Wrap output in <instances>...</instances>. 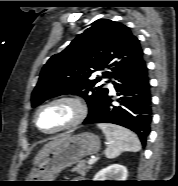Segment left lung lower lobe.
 I'll use <instances>...</instances> for the list:
<instances>
[{
    "label": "left lung lower lobe",
    "instance_id": "left-lung-lower-lobe-1",
    "mask_svg": "<svg viewBox=\"0 0 178 186\" xmlns=\"http://www.w3.org/2000/svg\"><path fill=\"white\" fill-rule=\"evenodd\" d=\"M119 106L112 104L107 90L100 104L89 112L84 124L112 123L134 131L142 145L146 144L152 120L150 84L147 66L142 59L122 71L113 82Z\"/></svg>",
    "mask_w": 178,
    "mask_h": 186
}]
</instances>
